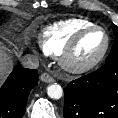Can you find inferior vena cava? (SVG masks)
<instances>
[{
  "instance_id": "602c4592",
  "label": "inferior vena cava",
  "mask_w": 118,
  "mask_h": 118,
  "mask_svg": "<svg viewBox=\"0 0 118 118\" xmlns=\"http://www.w3.org/2000/svg\"><path fill=\"white\" fill-rule=\"evenodd\" d=\"M21 63L25 68L37 69L39 67V59L33 54L23 56L21 58Z\"/></svg>"
}]
</instances>
